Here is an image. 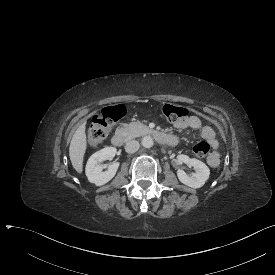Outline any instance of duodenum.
Returning a JSON list of instances; mask_svg holds the SVG:
<instances>
[{
    "mask_svg": "<svg viewBox=\"0 0 275 275\" xmlns=\"http://www.w3.org/2000/svg\"><path fill=\"white\" fill-rule=\"evenodd\" d=\"M149 134L153 136L159 143L174 145L176 143V139L164 132L158 130H149ZM127 140V136L123 131H117L113 134L111 138V143L116 146H122Z\"/></svg>",
    "mask_w": 275,
    "mask_h": 275,
    "instance_id": "obj_1",
    "label": "duodenum"
}]
</instances>
